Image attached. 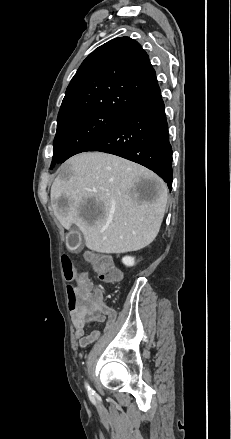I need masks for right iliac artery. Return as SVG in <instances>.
<instances>
[{
    "label": "right iliac artery",
    "instance_id": "82829eb1",
    "mask_svg": "<svg viewBox=\"0 0 231 439\" xmlns=\"http://www.w3.org/2000/svg\"><path fill=\"white\" fill-rule=\"evenodd\" d=\"M86 385V389L88 391V395L91 399L94 398V390L88 385V383L85 384Z\"/></svg>",
    "mask_w": 231,
    "mask_h": 439
}]
</instances>
